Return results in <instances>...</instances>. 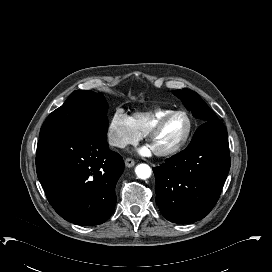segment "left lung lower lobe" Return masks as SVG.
Masks as SVG:
<instances>
[{
	"instance_id": "0a47b994",
	"label": "left lung lower lobe",
	"mask_w": 272,
	"mask_h": 272,
	"mask_svg": "<svg viewBox=\"0 0 272 272\" xmlns=\"http://www.w3.org/2000/svg\"><path fill=\"white\" fill-rule=\"evenodd\" d=\"M230 169L227 131L222 122L207 121L184 151L153 168L156 203L174 223H192L215 206Z\"/></svg>"
}]
</instances>
